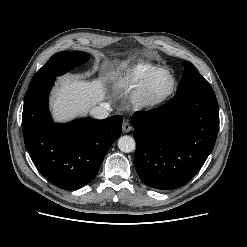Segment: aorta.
Returning <instances> with one entry per match:
<instances>
[{"label":"aorta","instance_id":"aorta-1","mask_svg":"<svg viewBox=\"0 0 247 247\" xmlns=\"http://www.w3.org/2000/svg\"><path fill=\"white\" fill-rule=\"evenodd\" d=\"M135 140L131 136L125 135L119 138L118 148L124 153H130L135 149Z\"/></svg>","mask_w":247,"mask_h":247}]
</instances>
